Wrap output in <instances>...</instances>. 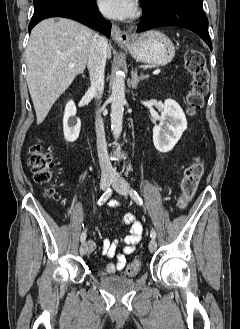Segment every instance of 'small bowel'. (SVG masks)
<instances>
[{
    "label": "small bowel",
    "mask_w": 240,
    "mask_h": 329,
    "mask_svg": "<svg viewBox=\"0 0 240 329\" xmlns=\"http://www.w3.org/2000/svg\"><path fill=\"white\" fill-rule=\"evenodd\" d=\"M120 205L117 200H111L109 206L116 208ZM121 223L129 227V233L121 242L124 244L122 252H118L120 241L105 239L101 246V252L109 258L115 257L114 263L107 264L101 271L100 275L106 276L119 272L124 269L127 263V256L132 254L136 246L140 243L143 237V224L137 219L134 214H126L121 218ZM96 249V243L93 240H89L87 243V251L89 253L94 252Z\"/></svg>",
    "instance_id": "small-bowel-1"
}]
</instances>
